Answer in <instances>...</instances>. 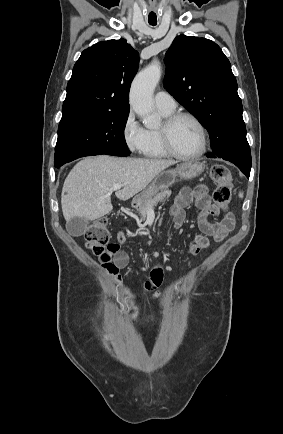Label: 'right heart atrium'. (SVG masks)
I'll return each mask as SVG.
<instances>
[{
	"mask_svg": "<svg viewBox=\"0 0 283 434\" xmlns=\"http://www.w3.org/2000/svg\"><path fill=\"white\" fill-rule=\"evenodd\" d=\"M123 141L132 153H142L147 140V131L137 120L133 110H129L121 129Z\"/></svg>",
	"mask_w": 283,
	"mask_h": 434,
	"instance_id": "1",
	"label": "right heart atrium"
}]
</instances>
